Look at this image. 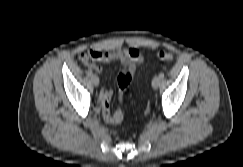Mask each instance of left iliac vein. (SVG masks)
I'll return each instance as SVG.
<instances>
[{
	"label": "left iliac vein",
	"mask_w": 243,
	"mask_h": 167,
	"mask_svg": "<svg viewBox=\"0 0 243 167\" xmlns=\"http://www.w3.org/2000/svg\"><path fill=\"white\" fill-rule=\"evenodd\" d=\"M160 84H161V78L158 76L154 77L152 80V87L156 89L160 86Z\"/></svg>",
	"instance_id": "obj_1"
}]
</instances>
